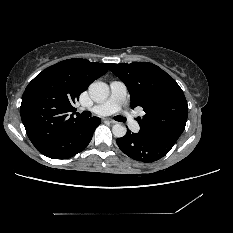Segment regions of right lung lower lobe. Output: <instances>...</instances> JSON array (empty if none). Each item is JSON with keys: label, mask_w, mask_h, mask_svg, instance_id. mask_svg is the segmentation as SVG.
Segmentation results:
<instances>
[{"label": "right lung lower lobe", "mask_w": 233, "mask_h": 233, "mask_svg": "<svg viewBox=\"0 0 233 233\" xmlns=\"http://www.w3.org/2000/svg\"><path fill=\"white\" fill-rule=\"evenodd\" d=\"M100 118L81 119L63 131L50 143L37 150L52 159H67L83 151L92 139Z\"/></svg>", "instance_id": "98d812e1"}]
</instances>
